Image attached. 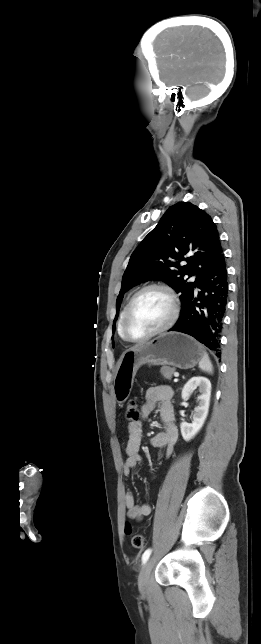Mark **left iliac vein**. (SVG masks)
<instances>
[{"label":"left iliac vein","mask_w":261,"mask_h":644,"mask_svg":"<svg viewBox=\"0 0 261 644\" xmlns=\"http://www.w3.org/2000/svg\"><path fill=\"white\" fill-rule=\"evenodd\" d=\"M153 565H154V561L151 558L150 560H148V562H146V564L143 566V568H142V570H141V572L139 574L138 586H139V590L142 593H145L147 591V589H148L150 573H151V570L153 568Z\"/></svg>","instance_id":"left-iliac-vein-1"}]
</instances>
